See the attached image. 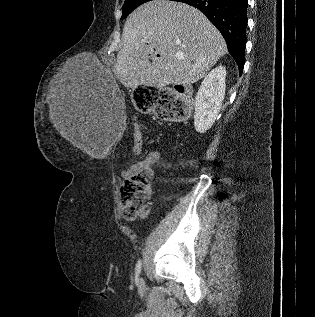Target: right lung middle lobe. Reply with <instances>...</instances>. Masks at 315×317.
<instances>
[{"instance_id": "1", "label": "right lung middle lobe", "mask_w": 315, "mask_h": 317, "mask_svg": "<svg viewBox=\"0 0 315 317\" xmlns=\"http://www.w3.org/2000/svg\"><path fill=\"white\" fill-rule=\"evenodd\" d=\"M151 0H125L124 5L122 7V17L121 20L124 19L129 13H131L135 8L140 6L143 3H146ZM175 1V0H173Z\"/></svg>"}]
</instances>
